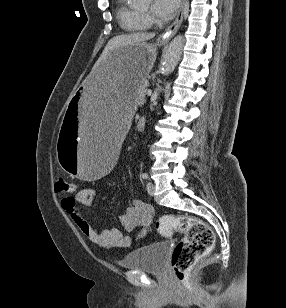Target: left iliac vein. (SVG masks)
<instances>
[{"instance_id":"1","label":"left iliac vein","mask_w":286,"mask_h":308,"mask_svg":"<svg viewBox=\"0 0 286 308\" xmlns=\"http://www.w3.org/2000/svg\"><path fill=\"white\" fill-rule=\"evenodd\" d=\"M147 192L149 195L153 196L155 192V185L153 182L149 181L146 185Z\"/></svg>"}]
</instances>
